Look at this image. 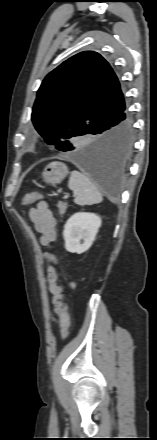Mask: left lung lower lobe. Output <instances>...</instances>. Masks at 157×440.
Instances as JSON below:
<instances>
[{
	"mask_svg": "<svg viewBox=\"0 0 157 440\" xmlns=\"http://www.w3.org/2000/svg\"><path fill=\"white\" fill-rule=\"evenodd\" d=\"M93 134L99 135L93 144L72 145L62 151H70L81 169L103 189L114 192L126 171L133 145V121L126 104L110 114Z\"/></svg>",
	"mask_w": 157,
	"mask_h": 440,
	"instance_id": "0a47b994",
	"label": "left lung lower lobe"
}]
</instances>
